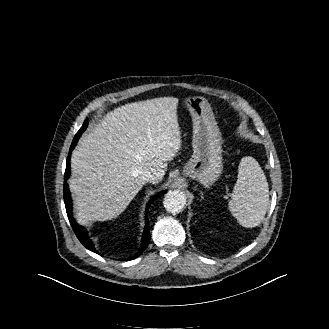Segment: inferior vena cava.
Returning <instances> with one entry per match:
<instances>
[{"label":"inferior vena cava","mask_w":329,"mask_h":329,"mask_svg":"<svg viewBox=\"0 0 329 329\" xmlns=\"http://www.w3.org/2000/svg\"><path fill=\"white\" fill-rule=\"evenodd\" d=\"M140 179L143 181V183H147V182L154 183L155 181L158 180V178L150 170L143 171L140 175Z\"/></svg>","instance_id":"inferior-vena-cava-1"}]
</instances>
